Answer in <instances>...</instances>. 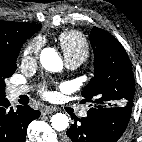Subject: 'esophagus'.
<instances>
[{
	"instance_id": "esophagus-1",
	"label": "esophagus",
	"mask_w": 142,
	"mask_h": 142,
	"mask_svg": "<svg viewBox=\"0 0 142 142\" xmlns=\"http://www.w3.org/2000/svg\"><path fill=\"white\" fill-rule=\"evenodd\" d=\"M54 111H56L55 108L50 107V106H46L41 110V114L42 115H49V114L53 113Z\"/></svg>"
}]
</instances>
